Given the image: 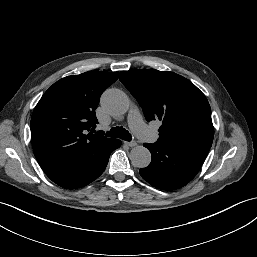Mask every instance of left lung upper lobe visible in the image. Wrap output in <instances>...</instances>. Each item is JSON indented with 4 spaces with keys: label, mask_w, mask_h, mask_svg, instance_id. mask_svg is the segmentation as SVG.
<instances>
[{
    "label": "left lung upper lobe",
    "mask_w": 257,
    "mask_h": 257,
    "mask_svg": "<svg viewBox=\"0 0 257 257\" xmlns=\"http://www.w3.org/2000/svg\"><path fill=\"white\" fill-rule=\"evenodd\" d=\"M119 79L140 104L146 120L162 122L157 144L211 147V108L191 81L155 69L121 71Z\"/></svg>",
    "instance_id": "5c2ea615"
}]
</instances>
